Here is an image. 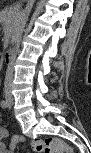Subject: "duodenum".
Segmentation results:
<instances>
[{"label":"duodenum","mask_w":91,"mask_h":153,"mask_svg":"<svg viewBox=\"0 0 91 153\" xmlns=\"http://www.w3.org/2000/svg\"><path fill=\"white\" fill-rule=\"evenodd\" d=\"M16 50L13 48L7 49L3 55V61L6 65H10L14 59Z\"/></svg>","instance_id":"410a0bca"}]
</instances>
